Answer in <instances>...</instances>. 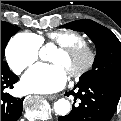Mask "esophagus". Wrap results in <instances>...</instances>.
Wrapping results in <instances>:
<instances>
[{
  "mask_svg": "<svg viewBox=\"0 0 121 121\" xmlns=\"http://www.w3.org/2000/svg\"><path fill=\"white\" fill-rule=\"evenodd\" d=\"M48 100H54L57 99L59 97V95L54 94V95H46L45 96Z\"/></svg>",
  "mask_w": 121,
  "mask_h": 121,
  "instance_id": "34e87169",
  "label": "esophagus"
}]
</instances>
